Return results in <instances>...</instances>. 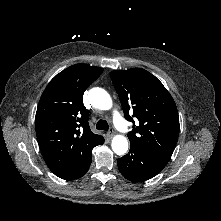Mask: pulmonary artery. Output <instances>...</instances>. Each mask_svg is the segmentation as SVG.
<instances>
[{
    "instance_id": "pulmonary-artery-1",
    "label": "pulmonary artery",
    "mask_w": 221,
    "mask_h": 221,
    "mask_svg": "<svg viewBox=\"0 0 221 221\" xmlns=\"http://www.w3.org/2000/svg\"><path fill=\"white\" fill-rule=\"evenodd\" d=\"M113 121L115 126L123 133L128 132V126L125 120L122 118V116L119 114V112L114 111L113 112Z\"/></svg>"
}]
</instances>
